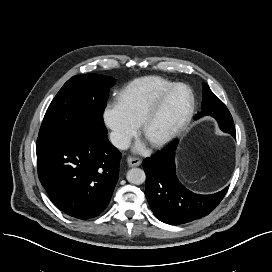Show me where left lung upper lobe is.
<instances>
[{"mask_svg":"<svg viewBox=\"0 0 272 272\" xmlns=\"http://www.w3.org/2000/svg\"><path fill=\"white\" fill-rule=\"evenodd\" d=\"M201 109L202 111L198 113L196 118L205 115H211L218 119L221 115L230 114L225 104L213 94V92L210 90L209 86L206 83H203V101L201 104ZM233 123L234 122L231 121V125L229 127L235 129Z\"/></svg>","mask_w":272,"mask_h":272,"instance_id":"1","label":"left lung upper lobe"}]
</instances>
